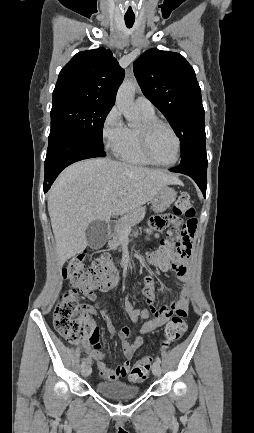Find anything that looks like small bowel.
<instances>
[{
    "label": "small bowel",
    "instance_id": "1",
    "mask_svg": "<svg viewBox=\"0 0 254 433\" xmlns=\"http://www.w3.org/2000/svg\"><path fill=\"white\" fill-rule=\"evenodd\" d=\"M169 216L157 218L152 221L153 228H162L166 225V221ZM191 254V253H190ZM190 255L184 257L167 258L161 261H155L161 271L172 270L176 272L178 278L187 283L190 277ZM118 286V277L115 276L110 282L102 285L98 288L100 291L114 290ZM143 295L146 297L147 306L140 307L130 297L125 299V313L133 322L142 321L139 328L138 335L129 341L130 331L128 328H121L115 330L112 323L108 320V328L111 332L115 333L121 341V349L126 360L116 367L111 369L104 361V355L100 352L101 343L99 340V328L95 322L91 321L94 325V334L91 343L88 347L87 361L89 363L94 362L99 370V375L108 381H116L121 378L129 377L130 380V367L131 359L133 358L134 352L143 344V338L145 335L153 332L157 328L163 326L170 316L171 310L174 306L186 307V297L181 295L177 300L172 301L171 305H161L156 302V294L154 289V279L151 275L145 277L144 287L142 289ZM84 295L90 299L95 300L96 294L94 291L84 292ZM87 311L93 312L95 309L92 306L86 307ZM131 381V380H130ZM133 382V381H132Z\"/></svg>",
    "mask_w": 254,
    "mask_h": 433
}]
</instances>
